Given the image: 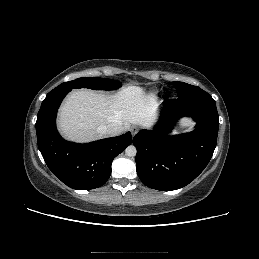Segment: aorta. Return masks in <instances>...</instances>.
Segmentation results:
<instances>
[{
  "instance_id": "1",
  "label": "aorta",
  "mask_w": 259,
  "mask_h": 259,
  "mask_svg": "<svg viewBox=\"0 0 259 259\" xmlns=\"http://www.w3.org/2000/svg\"><path fill=\"white\" fill-rule=\"evenodd\" d=\"M137 153V150H136V147L133 146V145H130L128 146L126 149H125V154L129 157H134Z\"/></svg>"
}]
</instances>
